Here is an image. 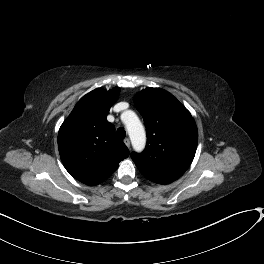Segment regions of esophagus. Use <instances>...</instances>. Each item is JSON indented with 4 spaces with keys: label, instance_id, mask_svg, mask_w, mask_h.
<instances>
[{
    "label": "esophagus",
    "instance_id": "34e87169",
    "mask_svg": "<svg viewBox=\"0 0 264 264\" xmlns=\"http://www.w3.org/2000/svg\"><path fill=\"white\" fill-rule=\"evenodd\" d=\"M124 143L128 148L130 147V140L128 138L124 139Z\"/></svg>",
    "mask_w": 264,
    "mask_h": 264
}]
</instances>
